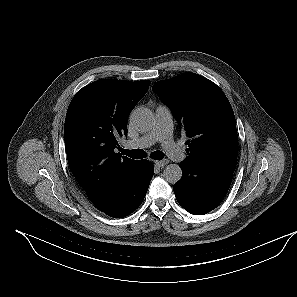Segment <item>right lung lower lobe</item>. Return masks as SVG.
I'll use <instances>...</instances> for the list:
<instances>
[{
    "label": "right lung lower lobe",
    "instance_id": "98d812e1",
    "mask_svg": "<svg viewBox=\"0 0 297 297\" xmlns=\"http://www.w3.org/2000/svg\"><path fill=\"white\" fill-rule=\"evenodd\" d=\"M139 171L116 202L103 212L114 218H122L131 214L142 203L153 177V164L140 160Z\"/></svg>",
    "mask_w": 297,
    "mask_h": 297
}]
</instances>
